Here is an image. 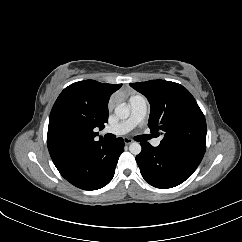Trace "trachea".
Here are the masks:
<instances>
[{
    "label": "trachea",
    "instance_id": "1",
    "mask_svg": "<svg viewBox=\"0 0 242 242\" xmlns=\"http://www.w3.org/2000/svg\"><path fill=\"white\" fill-rule=\"evenodd\" d=\"M109 138V137H108ZM151 138V136H149V135H145V136H143L142 137V140H148V139H150Z\"/></svg>",
    "mask_w": 242,
    "mask_h": 242
}]
</instances>
